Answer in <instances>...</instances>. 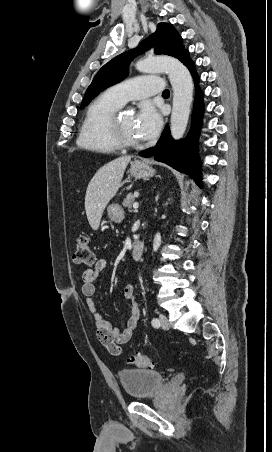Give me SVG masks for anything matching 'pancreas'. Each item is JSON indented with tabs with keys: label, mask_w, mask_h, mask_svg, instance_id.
<instances>
[{
	"label": "pancreas",
	"mask_w": 272,
	"mask_h": 452,
	"mask_svg": "<svg viewBox=\"0 0 272 452\" xmlns=\"http://www.w3.org/2000/svg\"><path fill=\"white\" fill-rule=\"evenodd\" d=\"M135 202V194L129 193L127 197L123 200L122 205L128 210L131 209L132 205Z\"/></svg>",
	"instance_id": "pancreas-1"
}]
</instances>
